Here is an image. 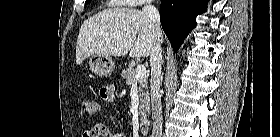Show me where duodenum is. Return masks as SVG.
I'll use <instances>...</instances> for the list:
<instances>
[{
    "instance_id": "1",
    "label": "duodenum",
    "mask_w": 280,
    "mask_h": 137,
    "mask_svg": "<svg viewBox=\"0 0 280 137\" xmlns=\"http://www.w3.org/2000/svg\"><path fill=\"white\" fill-rule=\"evenodd\" d=\"M151 128V121L149 119H144L140 122L139 129L143 134H148Z\"/></svg>"
}]
</instances>
